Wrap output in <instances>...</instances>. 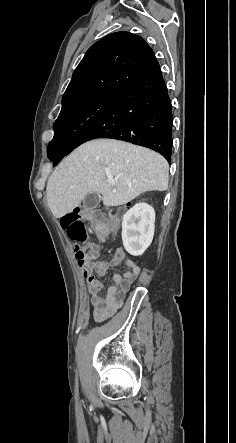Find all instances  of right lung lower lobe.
I'll return each mask as SVG.
<instances>
[{"label": "right lung lower lobe", "instance_id": "obj_1", "mask_svg": "<svg viewBox=\"0 0 236 443\" xmlns=\"http://www.w3.org/2000/svg\"><path fill=\"white\" fill-rule=\"evenodd\" d=\"M171 108L167 87L156 62L86 121L66 149L48 148V157L57 165L65 155L88 140L113 138L153 149L170 162Z\"/></svg>", "mask_w": 236, "mask_h": 443}]
</instances>
